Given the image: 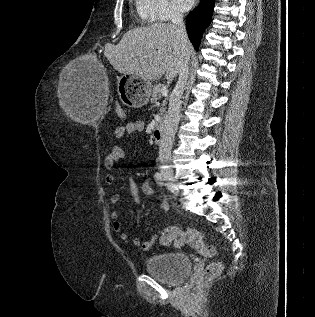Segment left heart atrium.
I'll use <instances>...</instances> for the list:
<instances>
[{
  "label": "left heart atrium",
  "mask_w": 315,
  "mask_h": 317,
  "mask_svg": "<svg viewBox=\"0 0 315 317\" xmlns=\"http://www.w3.org/2000/svg\"><path fill=\"white\" fill-rule=\"evenodd\" d=\"M176 9L181 12L188 11L194 5L195 0H172Z\"/></svg>",
  "instance_id": "1"
}]
</instances>
